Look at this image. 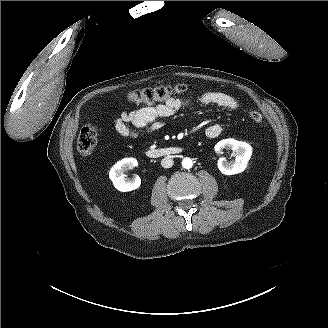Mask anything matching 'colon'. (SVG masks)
Masks as SVG:
<instances>
[{"mask_svg": "<svg viewBox=\"0 0 328 328\" xmlns=\"http://www.w3.org/2000/svg\"><path fill=\"white\" fill-rule=\"evenodd\" d=\"M188 90L185 84L175 86H162L153 89H144L132 92L128 95V100L134 104L152 105L161 101H166L175 94H181ZM250 118L253 122L260 123L263 116L258 111H251ZM97 142V129L92 124L85 125L79 132L77 138V149L82 155H90Z\"/></svg>", "mask_w": 328, "mask_h": 328, "instance_id": "obj_1", "label": "colon"}]
</instances>
